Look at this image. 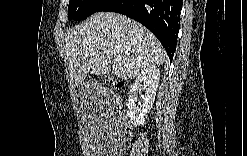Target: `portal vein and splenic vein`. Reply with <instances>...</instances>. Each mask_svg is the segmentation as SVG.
<instances>
[{"instance_id": "portal-vein-and-splenic-vein-1", "label": "portal vein and splenic vein", "mask_w": 247, "mask_h": 156, "mask_svg": "<svg viewBox=\"0 0 247 156\" xmlns=\"http://www.w3.org/2000/svg\"><path fill=\"white\" fill-rule=\"evenodd\" d=\"M119 59H120L119 57H116L114 60H115V61H119Z\"/></svg>"}]
</instances>
